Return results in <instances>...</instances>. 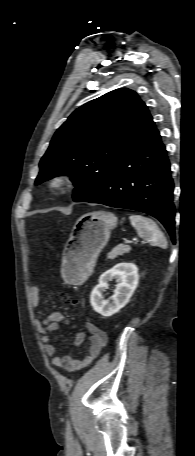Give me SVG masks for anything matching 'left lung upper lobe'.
Listing matches in <instances>:
<instances>
[{"mask_svg":"<svg viewBox=\"0 0 195 456\" xmlns=\"http://www.w3.org/2000/svg\"><path fill=\"white\" fill-rule=\"evenodd\" d=\"M148 114L144 102L126 88L76 109L54 134L35 185L69 175L76 187L74 201L83 202L104 184Z\"/></svg>","mask_w":195,"mask_h":456,"instance_id":"1","label":"left lung upper lobe"}]
</instances>
